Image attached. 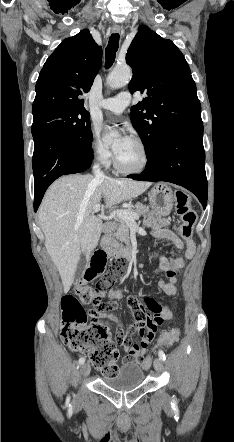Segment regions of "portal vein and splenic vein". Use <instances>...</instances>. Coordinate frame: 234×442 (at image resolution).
I'll use <instances>...</instances> for the list:
<instances>
[{
    "mask_svg": "<svg viewBox=\"0 0 234 442\" xmlns=\"http://www.w3.org/2000/svg\"><path fill=\"white\" fill-rule=\"evenodd\" d=\"M93 211L95 213H98L100 211V205L95 204L93 206ZM115 215L117 218H119L120 220H123L127 223H135V220L139 219V217H140L138 214L133 213V212L126 210V209L116 210Z\"/></svg>",
    "mask_w": 234,
    "mask_h": 442,
    "instance_id": "18ae733b",
    "label": "portal vein and splenic vein"
}]
</instances>
